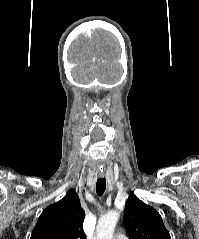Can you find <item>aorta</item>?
<instances>
[{"instance_id":"1","label":"aorta","mask_w":199,"mask_h":239,"mask_svg":"<svg viewBox=\"0 0 199 239\" xmlns=\"http://www.w3.org/2000/svg\"><path fill=\"white\" fill-rule=\"evenodd\" d=\"M118 218L119 214L116 211H110L102 216L96 227V239H113Z\"/></svg>"}]
</instances>
